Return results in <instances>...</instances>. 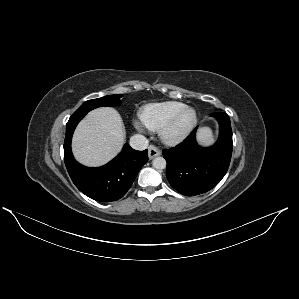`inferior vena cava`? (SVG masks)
I'll return each instance as SVG.
<instances>
[{
	"label": "inferior vena cava",
	"mask_w": 299,
	"mask_h": 299,
	"mask_svg": "<svg viewBox=\"0 0 299 299\" xmlns=\"http://www.w3.org/2000/svg\"><path fill=\"white\" fill-rule=\"evenodd\" d=\"M130 146L136 150H145L148 147V140L143 135H133L130 138Z\"/></svg>",
	"instance_id": "inferior-vena-cava-1"
}]
</instances>
